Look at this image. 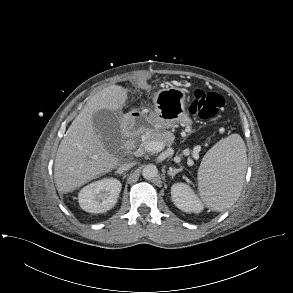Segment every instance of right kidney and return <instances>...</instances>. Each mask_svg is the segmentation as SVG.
I'll return each instance as SVG.
<instances>
[{"label": "right kidney", "instance_id": "obj_1", "mask_svg": "<svg viewBox=\"0 0 293 293\" xmlns=\"http://www.w3.org/2000/svg\"><path fill=\"white\" fill-rule=\"evenodd\" d=\"M121 188L122 184L115 178L92 182L79 192V205L89 213H104L115 206Z\"/></svg>", "mask_w": 293, "mask_h": 293}]
</instances>
